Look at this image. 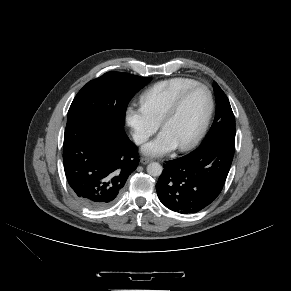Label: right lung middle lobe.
Here are the masks:
<instances>
[{
    "instance_id": "1",
    "label": "right lung middle lobe",
    "mask_w": 291,
    "mask_h": 291,
    "mask_svg": "<svg viewBox=\"0 0 291 291\" xmlns=\"http://www.w3.org/2000/svg\"><path fill=\"white\" fill-rule=\"evenodd\" d=\"M151 78L108 72L87 83L74 98L67 125L76 122H107L124 126L127 105Z\"/></svg>"
}]
</instances>
